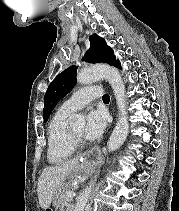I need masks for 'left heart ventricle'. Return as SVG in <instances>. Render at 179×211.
<instances>
[{
	"label": "left heart ventricle",
	"mask_w": 179,
	"mask_h": 211,
	"mask_svg": "<svg viewBox=\"0 0 179 211\" xmlns=\"http://www.w3.org/2000/svg\"><path fill=\"white\" fill-rule=\"evenodd\" d=\"M72 129L78 136L83 137L85 131V127L83 124L74 126Z\"/></svg>",
	"instance_id": "left-heart-ventricle-1"
}]
</instances>
